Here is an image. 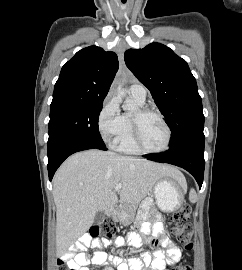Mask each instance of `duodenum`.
Listing matches in <instances>:
<instances>
[{
    "instance_id": "obj_1",
    "label": "duodenum",
    "mask_w": 242,
    "mask_h": 270,
    "mask_svg": "<svg viewBox=\"0 0 242 270\" xmlns=\"http://www.w3.org/2000/svg\"><path fill=\"white\" fill-rule=\"evenodd\" d=\"M107 215H108L109 217H114V216L116 215L115 209H110V210L108 211Z\"/></svg>"
}]
</instances>
